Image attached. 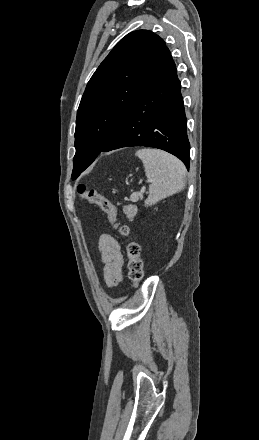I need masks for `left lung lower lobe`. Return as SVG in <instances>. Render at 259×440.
I'll return each instance as SVG.
<instances>
[{"label":"left lung lower lobe","mask_w":259,"mask_h":440,"mask_svg":"<svg viewBox=\"0 0 259 440\" xmlns=\"http://www.w3.org/2000/svg\"><path fill=\"white\" fill-rule=\"evenodd\" d=\"M180 90L175 63L165 47L146 87L102 152L155 147L175 155L189 169L190 144Z\"/></svg>","instance_id":"left-lung-lower-lobe-1"}]
</instances>
